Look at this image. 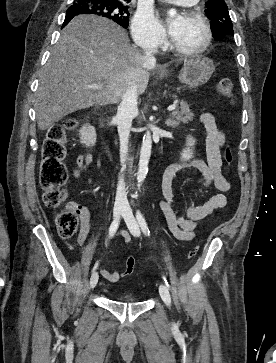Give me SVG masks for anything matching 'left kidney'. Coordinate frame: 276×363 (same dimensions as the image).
Returning <instances> with one entry per match:
<instances>
[{
	"mask_svg": "<svg viewBox=\"0 0 276 363\" xmlns=\"http://www.w3.org/2000/svg\"><path fill=\"white\" fill-rule=\"evenodd\" d=\"M195 145V139L191 136L186 138V148L181 153V160L188 161L193 157V146Z\"/></svg>",
	"mask_w": 276,
	"mask_h": 363,
	"instance_id": "5707ae66",
	"label": "left kidney"
}]
</instances>
